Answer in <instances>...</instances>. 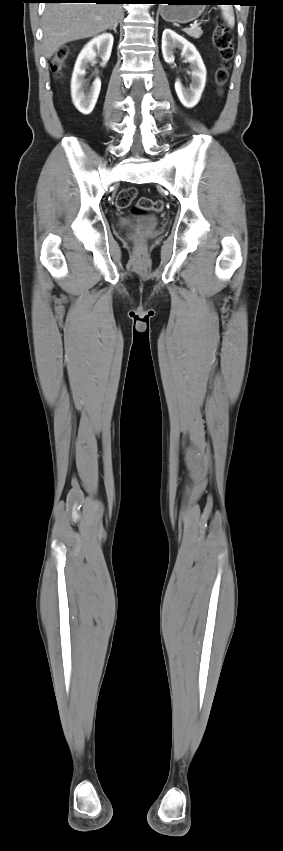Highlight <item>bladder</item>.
Listing matches in <instances>:
<instances>
[{
	"instance_id": "31cf9c89",
	"label": "bladder",
	"mask_w": 283,
	"mask_h": 851,
	"mask_svg": "<svg viewBox=\"0 0 283 851\" xmlns=\"http://www.w3.org/2000/svg\"><path fill=\"white\" fill-rule=\"evenodd\" d=\"M143 220H144V221H148V222H154V221H155V219H154V218H144ZM131 222H132V221H131L130 219H128V218H121V219L118 221V225H119L121 228H125V227L129 226V225L131 224Z\"/></svg>"
}]
</instances>
